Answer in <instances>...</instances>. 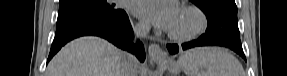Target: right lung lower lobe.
Instances as JSON below:
<instances>
[{"label":"right lung lower lobe","mask_w":287,"mask_h":76,"mask_svg":"<svg viewBox=\"0 0 287 76\" xmlns=\"http://www.w3.org/2000/svg\"><path fill=\"white\" fill-rule=\"evenodd\" d=\"M84 35H95L107 39L117 47L127 50L137 56L143 62L145 52L141 42L136 45L132 43L133 32L127 14L124 12L119 18L100 24L82 25L64 33L57 34L51 46L47 62L68 41Z\"/></svg>","instance_id":"1"}]
</instances>
